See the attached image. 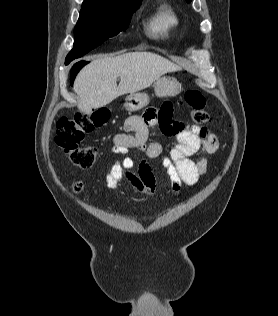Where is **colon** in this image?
I'll return each instance as SVG.
<instances>
[{"instance_id": "1", "label": "colon", "mask_w": 278, "mask_h": 316, "mask_svg": "<svg viewBox=\"0 0 278 316\" xmlns=\"http://www.w3.org/2000/svg\"><path fill=\"white\" fill-rule=\"evenodd\" d=\"M185 101L192 108L194 128L198 129L211 120V114L206 109V99L196 89L185 93ZM108 120L105 111L92 114L75 113L71 117L63 116L57 123L55 141L69 156L73 164L79 168L91 167L99 157V149L95 146H82L85 135L103 126ZM183 125H176L174 130ZM82 184L76 183L74 189L79 191Z\"/></svg>"}]
</instances>
